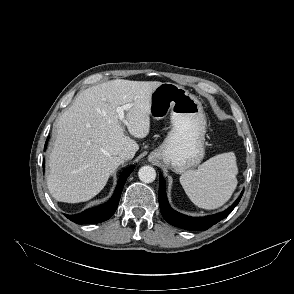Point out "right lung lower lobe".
Here are the masks:
<instances>
[{
	"instance_id": "98d812e1",
	"label": "right lung lower lobe",
	"mask_w": 294,
	"mask_h": 294,
	"mask_svg": "<svg viewBox=\"0 0 294 294\" xmlns=\"http://www.w3.org/2000/svg\"><path fill=\"white\" fill-rule=\"evenodd\" d=\"M133 169L134 167H130L123 171L121 178L116 186L115 192L108 202L98 207L88 209L80 214L65 216L77 224L100 223L109 219L116 211L123 186L127 180V177L130 175Z\"/></svg>"
}]
</instances>
